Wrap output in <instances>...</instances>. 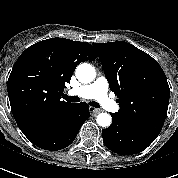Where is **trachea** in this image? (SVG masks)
Wrapping results in <instances>:
<instances>
[{
    "label": "trachea",
    "mask_w": 178,
    "mask_h": 178,
    "mask_svg": "<svg viewBox=\"0 0 178 178\" xmlns=\"http://www.w3.org/2000/svg\"><path fill=\"white\" fill-rule=\"evenodd\" d=\"M63 98L68 102H79L80 101V98L77 97V96H68V95L64 94ZM89 105L92 106V107H95V108H99L100 107L99 103L94 102V101H90Z\"/></svg>",
    "instance_id": "trachea-1"
}]
</instances>
